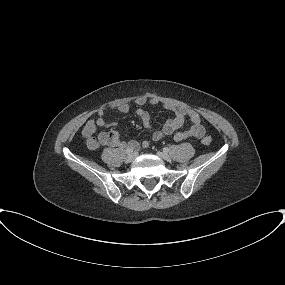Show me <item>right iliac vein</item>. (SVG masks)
I'll use <instances>...</instances> for the list:
<instances>
[{
  "label": "right iliac vein",
  "instance_id": "right-iliac-vein-1",
  "mask_svg": "<svg viewBox=\"0 0 285 285\" xmlns=\"http://www.w3.org/2000/svg\"><path fill=\"white\" fill-rule=\"evenodd\" d=\"M136 156H137V153L132 152V153H130V154L127 155L126 161H127V162H132V161L136 158Z\"/></svg>",
  "mask_w": 285,
  "mask_h": 285
}]
</instances>
